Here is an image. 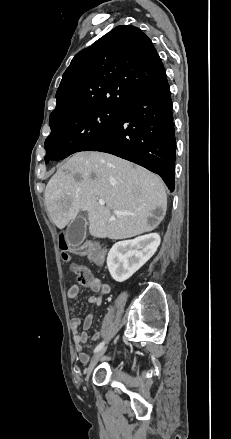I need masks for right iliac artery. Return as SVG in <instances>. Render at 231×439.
Wrapping results in <instances>:
<instances>
[{
	"mask_svg": "<svg viewBox=\"0 0 231 439\" xmlns=\"http://www.w3.org/2000/svg\"><path fill=\"white\" fill-rule=\"evenodd\" d=\"M104 344H105L104 341L101 342V343L95 348L94 352H98L99 350H101V349L103 348Z\"/></svg>",
	"mask_w": 231,
	"mask_h": 439,
	"instance_id": "82829eb1",
	"label": "right iliac artery"
}]
</instances>
